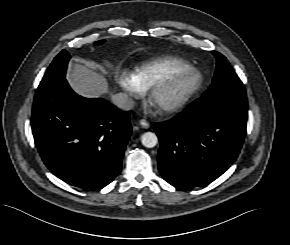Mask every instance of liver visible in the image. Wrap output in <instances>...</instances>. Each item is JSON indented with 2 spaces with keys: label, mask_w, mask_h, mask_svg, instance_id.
<instances>
[{
  "label": "liver",
  "mask_w": 290,
  "mask_h": 245,
  "mask_svg": "<svg viewBox=\"0 0 290 245\" xmlns=\"http://www.w3.org/2000/svg\"><path fill=\"white\" fill-rule=\"evenodd\" d=\"M67 80L75 92L87 98L100 97L108 92L104 75L85 64H73L68 70Z\"/></svg>",
  "instance_id": "1"
}]
</instances>
